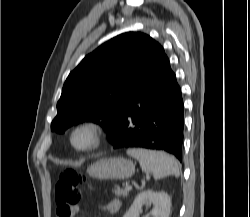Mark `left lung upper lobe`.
<instances>
[{
	"label": "left lung upper lobe",
	"instance_id": "5c2ea615",
	"mask_svg": "<svg viewBox=\"0 0 250 217\" xmlns=\"http://www.w3.org/2000/svg\"><path fill=\"white\" fill-rule=\"evenodd\" d=\"M161 45L146 34L128 32L88 54L66 79L51 129L63 133L92 121L112 136L134 89L152 67Z\"/></svg>",
	"mask_w": 250,
	"mask_h": 217
}]
</instances>
